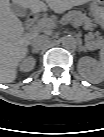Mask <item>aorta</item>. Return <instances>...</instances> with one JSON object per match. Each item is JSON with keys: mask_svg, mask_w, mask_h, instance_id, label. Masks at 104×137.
<instances>
[{"mask_svg": "<svg viewBox=\"0 0 104 137\" xmlns=\"http://www.w3.org/2000/svg\"><path fill=\"white\" fill-rule=\"evenodd\" d=\"M62 46L67 50H72L76 48V40L73 36H65L61 39Z\"/></svg>", "mask_w": 104, "mask_h": 137, "instance_id": "1", "label": "aorta"}]
</instances>
